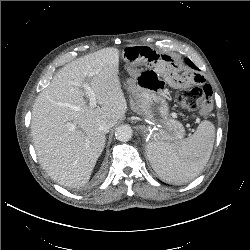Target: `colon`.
<instances>
[{
    "instance_id": "colon-1",
    "label": "colon",
    "mask_w": 250,
    "mask_h": 250,
    "mask_svg": "<svg viewBox=\"0 0 250 250\" xmlns=\"http://www.w3.org/2000/svg\"><path fill=\"white\" fill-rule=\"evenodd\" d=\"M176 101L182 109L206 116L213 107L212 88L209 85H203L181 91L177 94Z\"/></svg>"
}]
</instances>
